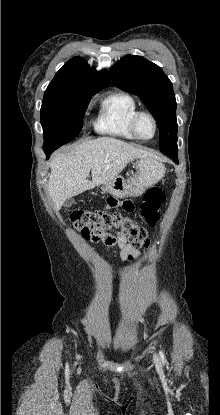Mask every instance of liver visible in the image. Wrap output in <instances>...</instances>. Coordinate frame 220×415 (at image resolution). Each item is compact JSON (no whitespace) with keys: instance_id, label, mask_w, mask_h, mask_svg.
<instances>
[{"instance_id":"1","label":"liver","mask_w":220,"mask_h":415,"mask_svg":"<svg viewBox=\"0 0 220 415\" xmlns=\"http://www.w3.org/2000/svg\"><path fill=\"white\" fill-rule=\"evenodd\" d=\"M152 156L111 137L85 141L68 153L55 154L50 162L48 194L59 210L67 199L116 178L131 160Z\"/></svg>"}]
</instances>
